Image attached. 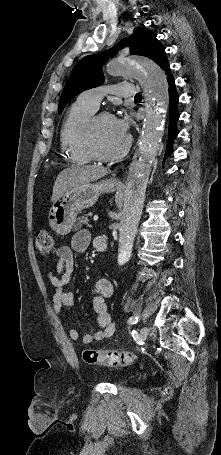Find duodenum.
Masks as SVG:
<instances>
[{
  "mask_svg": "<svg viewBox=\"0 0 221 455\" xmlns=\"http://www.w3.org/2000/svg\"><path fill=\"white\" fill-rule=\"evenodd\" d=\"M95 248L99 252H104L107 248V240L105 237L98 236L95 240Z\"/></svg>",
  "mask_w": 221,
  "mask_h": 455,
  "instance_id": "410a0bca",
  "label": "duodenum"
}]
</instances>
